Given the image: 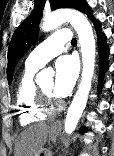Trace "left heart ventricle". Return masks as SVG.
Segmentation results:
<instances>
[{
    "label": "left heart ventricle",
    "mask_w": 114,
    "mask_h": 156,
    "mask_svg": "<svg viewBox=\"0 0 114 156\" xmlns=\"http://www.w3.org/2000/svg\"><path fill=\"white\" fill-rule=\"evenodd\" d=\"M53 85H54L53 81L50 80V81H48V82L42 84V85H41V88H42L45 92L52 94Z\"/></svg>",
    "instance_id": "b2bd125f"
}]
</instances>
